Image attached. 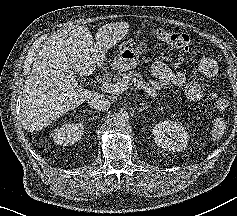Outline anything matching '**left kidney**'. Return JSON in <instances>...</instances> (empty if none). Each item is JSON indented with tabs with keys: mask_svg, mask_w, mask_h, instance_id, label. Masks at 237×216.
<instances>
[{
	"mask_svg": "<svg viewBox=\"0 0 237 216\" xmlns=\"http://www.w3.org/2000/svg\"><path fill=\"white\" fill-rule=\"evenodd\" d=\"M154 140L157 146L169 151H182L188 145L189 133L176 121H162L153 129Z\"/></svg>",
	"mask_w": 237,
	"mask_h": 216,
	"instance_id": "1",
	"label": "left kidney"
}]
</instances>
